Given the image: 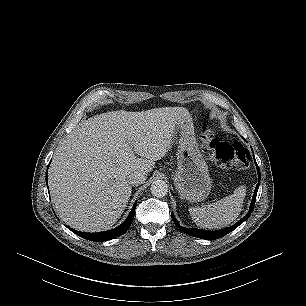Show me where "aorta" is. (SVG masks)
<instances>
[{"mask_svg": "<svg viewBox=\"0 0 306 306\" xmlns=\"http://www.w3.org/2000/svg\"><path fill=\"white\" fill-rule=\"evenodd\" d=\"M150 190L153 196L161 198L167 194L168 186L164 181L156 180L152 183Z\"/></svg>", "mask_w": 306, "mask_h": 306, "instance_id": "obj_1", "label": "aorta"}]
</instances>
